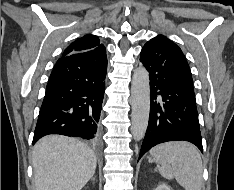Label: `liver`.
<instances>
[{"instance_id": "obj_1", "label": "liver", "mask_w": 234, "mask_h": 190, "mask_svg": "<svg viewBox=\"0 0 234 190\" xmlns=\"http://www.w3.org/2000/svg\"><path fill=\"white\" fill-rule=\"evenodd\" d=\"M32 164L36 190H81L94 175L97 161L85 143L48 135L35 144Z\"/></svg>"}]
</instances>
